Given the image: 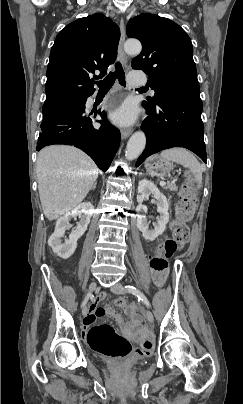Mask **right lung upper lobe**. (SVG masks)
<instances>
[{
    "mask_svg": "<svg viewBox=\"0 0 243 404\" xmlns=\"http://www.w3.org/2000/svg\"><path fill=\"white\" fill-rule=\"evenodd\" d=\"M119 39V27L100 13L68 24L50 52L44 104L91 96L95 91L92 77L106 74L116 59Z\"/></svg>",
    "mask_w": 243,
    "mask_h": 404,
    "instance_id": "cb5924a9",
    "label": "right lung upper lobe"
}]
</instances>
